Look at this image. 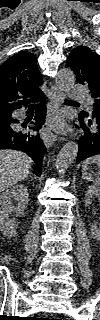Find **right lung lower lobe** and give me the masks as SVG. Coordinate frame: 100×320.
I'll list each match as a JSON object with an SVG mask.
<instances>
[{"instance_id":"right-lung-lower-lobe-1","label":"right lung lower lobe","mask_w":100,"mask_h":320,"mask_svg":"<svg viewBox=\"0 0 100 320\" xmlns=\"http://www.w3.org/2000/svg\"><path fill=\"white\" fill-rule=\"evenodd\" d=\"M40 102L34 116L32 126L28 129H19L13 126L19 121L11 116L0 120V149H15L25 152L36 164L34 174L40 176L43 156L46 152L44 143L36 133L44 123L45 118V96L41 94L35 100Z\"/></svg>"}]
</instances>
